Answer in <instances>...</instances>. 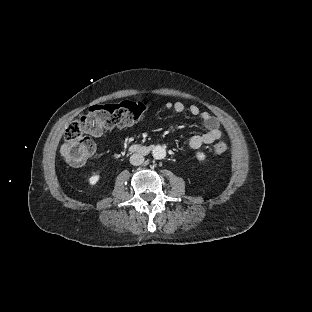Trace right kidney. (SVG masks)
Returning <instances> with one entry per match:
<instances>
[{
	"label": "right kidney",
	"instance_id": "obj_1",
	"mask_svg": "<svg viewBox=\"0 0 312 312\" xmlns=\"http://www.w3.org/2000/svg\"><path fill=\"white\" fill-rule=\"evenodd\" d=\"M101 179V174H93L88 178V185L89 186H96L97 183L100 181Z\"/></svg>",
	"mask_w": 312,
	"mask_h": 312
}]
</instances>
